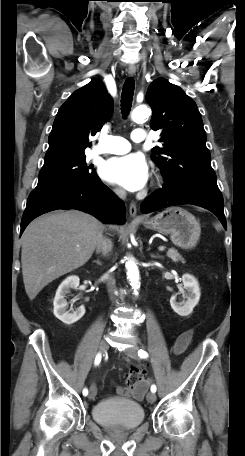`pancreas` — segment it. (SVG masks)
I'll list each match as a JSON object with an SVG mask.
<instances>
[{"instance_id":"cf45deb5","label":"pancreas","mask_w":245,"mask_h":456,"mask_svg":"<svg viewBox=\"0 0 245 456\" xmlns=\"http://www.w3.org/2000/svg\"><path fill=\"white\" fill-rule=\"evenodd\" d=\"M167 257L172 259L173 262H179V261H181L182 263L185 262L184 259L182 258V256L178 253V251L175 248L168 249Z\"/></svg>"}]
</instances>
